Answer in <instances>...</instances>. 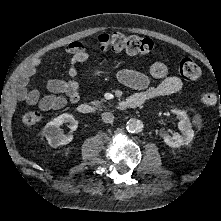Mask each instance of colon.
<instances>
[{
    "label": "colon",
    "mask_w": 221,
    "mask_h": 221,
    "mask_svg": "<svg viewBox=\"0 0 221 221\" xmlns=\"http://www.w3.org/2000/svg\"><path fill=\"white\" fill-rule=\"evenodd\" d=\"M97 46L101 52L124 51L129 54L140 55L149 54L153 50V43L150 39L121 33L100 35L97 40ZM179 73L185 80L193 81L200 77L201 68L196 61L186 58L180 62ZM199 99L205 106H213L218 101L217 95L212 91L201 92ZM40 120L41 115L35 110L26 111L21 116V122L27 128L36 126Z\"/></svg>",
    "instance_id": "5ec220e1"
}]
</instances>
